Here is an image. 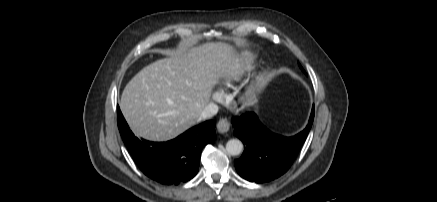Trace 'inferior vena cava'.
Here are the masks:
<instances>
[{
	"instance_id": "1",
	"label": "inferior vena cava",
	"mask_w": 437,
	"mask_h": 202,
	"mask_svg": "<svg viewBox=\"0 0 437 202\" xmlns=\"http://www.w3.org/2000/svg\"><path fill=\"white\" fill-rule=\"evenodd\" d=\"M219 107L215 103H209L204 107L199 116L200 120H205L217 114Z\"/></svg>"
}]
</instances>
